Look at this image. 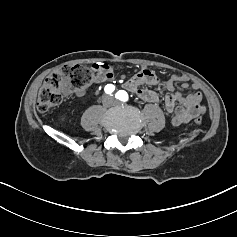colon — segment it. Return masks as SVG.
I'll list each match as a JSON object with an SVG mask.
<instances>
[{
	"mask_svg": "<svg viewBox=\"0 0 237 237\" xmlns=\"http://www.w3.org/2000/svg\"><path fill=\"white\" fill-rule=\"evenodd\" d=\"M112 65L97 63L91 68L82 65H64L47 76L38 93L37 109L46 112L50 108L59 105L63 100V92L80 91L88 87L99 74L113 72ZM194 122L202 124V118L196 117Z\"/></svg>",
	"mask_w": 237,
	"mask_h": 237,
	"instance_id": "1",
	"label": "colon"
}]
</instances>
